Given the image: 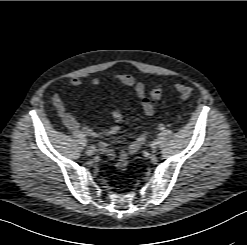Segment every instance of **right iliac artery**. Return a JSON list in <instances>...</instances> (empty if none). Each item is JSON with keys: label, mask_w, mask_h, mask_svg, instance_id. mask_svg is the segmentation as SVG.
<instances>
[{"label": "right iliac artery", "mask_w": 247, "mask_h": 245, "mask_svg": "<svg viewBox=\"0 0 247 245\" xmlns=\"http://www.w3.org/2000/svg\"><path fill=\"white\" fill-rule=\"evenodd\" d=\"M89 148L95 150L96 147L94 145H91Z\"/></svg>", "instance_id": "obj_1"}]
</instances>
